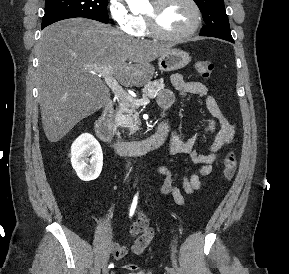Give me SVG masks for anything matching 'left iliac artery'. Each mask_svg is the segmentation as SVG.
<instances>
[{
  "label": "left iliac artery",
  "mask_w": 289,
  "mask_h": 274,
  "mask_svg": "<svg viewBox=\"0 0 289 274\" xmlns=\"http://www.w3.org/2000/svg\"><path fill=\"white\" fill-rule=\"evenodd\" d=\"M170 268L166 267V270L169 271Z\"/></svg>",
  "instance_id": "44dca946"
}]
</instances>
